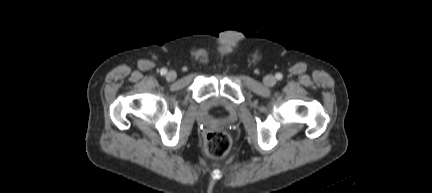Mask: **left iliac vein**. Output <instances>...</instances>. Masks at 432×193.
<instances>
[{
  "instance_id": "4c4485c4",
  "label": "left iliac vein",
  "mask_w": 432,
  "mask_h": 193,
  "mask_svg": "<svg viewBox=\"0 0 432 193\" xmlns=\"http://www.w3.org/2000/svg\"><path fill=\"white\" fill-rule=\"evenodd\" d=\"M264 83L267 86H274L276 84V78L272 75H267L264 77Z\"/></svg>"
}]
</instances>
